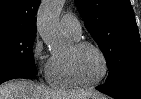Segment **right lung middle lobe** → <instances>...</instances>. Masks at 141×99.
Listing matches in <instances>:
<instances>
[{
    "mask_svg": "<svg viewBox=\"0 0 141 99\" xmlns=\"http://www.w3.org/2000/svg\"><path fill=\"white\" fill-rule=\"evenodd\" d=\"M35 35L32 30L0 29V73L37 72L32 53Z\"/></svg>",
    "mask_w": 141,
    "mask_h": 99,
    "instance_id": "1",
    "label": "right lung middle lobe"
}]
</instances>
